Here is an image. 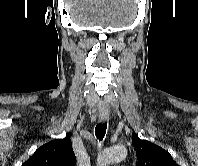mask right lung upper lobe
<instances>
[{
  "instance_id": "cb5924a9",
  "label": "right lung upper lobe",
  "mask_w": 198,
  "mask_h": 166,
  "mask_svg": "<svg viewBox=\"0 0 198 166\" xmlns=\"http://www.w3.org/2000/svg\"><path fill=\"white\" fill-rule=\"evenodd\" d=\"M76 158L69 135L39 147L22 166H75Z\"/></svg>"
}]
</instances>
